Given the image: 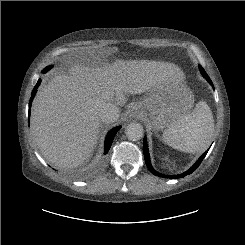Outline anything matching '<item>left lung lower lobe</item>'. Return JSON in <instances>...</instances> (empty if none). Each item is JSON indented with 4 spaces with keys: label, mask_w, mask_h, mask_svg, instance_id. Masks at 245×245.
Masks as SVG:
<instances>
[{
    "label": "left lung lower lobe",
    "mask_w": 245,
    "mask_h": 245,
    "mask_svg": "<svg viewBox=\"0 0 245 245\" xmlns=\"http://www.w3.org/2000/svg\"><path fill=\"white\" fill-rule=\"evenodd\" d=\"M202 75L206 78V80L212 85L213 87V84L210 80V78L208 77V75L206 74V72L203 70H200ZM209 150V149H208ZM208 150L203 153L200 158L195 162V164L189 169L187 170L186 172L182 173V174H179V175H173V176H167V175H164V174H161L157 171H155L151 165V162H150V157H149V151H148V146H147V143H146V138L144 137V142H143V153H144V158H145V163L148 167V169L150 170V172L156 176H159V177H166V178H182V177H185L186 175L188 174H191L193 171H195L197 169V167L200 165V163L202 162V160L204 159V157L206 156Z\"/></svg>",
    "instance_id": "obj_1"
}]
</instances>
